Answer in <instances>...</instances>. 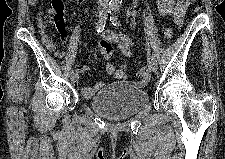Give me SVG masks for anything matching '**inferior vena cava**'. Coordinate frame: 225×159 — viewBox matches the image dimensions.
Instances as JSON below:
<instances>
[{
	"label": "inferior vena cava",
	"instance_id": "1",
	"mask_svg": "<svg viewBox=\"0 0 225 159\" xmlns=\"http://www.w3.org/2000/svg\"><path fill=\"white\" fill-rule=\"evenodd\" d=\"M99 6H107L108 5V0H98L97 1Z\"/></svg>",
	"mask_w": 225,
	"mask_h": 159
}]
</instances>
